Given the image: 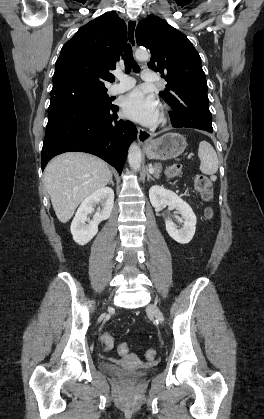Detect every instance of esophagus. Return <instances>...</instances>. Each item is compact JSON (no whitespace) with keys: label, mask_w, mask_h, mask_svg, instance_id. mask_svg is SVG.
Listing matches in <instances>:
<instances>
[{"label":"esophagus","mask_w":264,"mask_h":419,"mask_svg":"<svg viewBox=\"0 0 264 419\" xmlns=\"http://www.w3.org/2000/svg\"><path fill=\"white\" fill-rule=\"evenodd\" d=\"M137 24H138V20L135 18H131L127 21L128 41L132 48L136 47L135 31H136ZM137 139L140 144H144L150 139V134L148 131L138 126Z\"/></svg>","instance_id":"34e87169"}]
</instances>
